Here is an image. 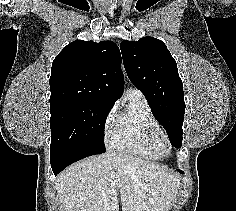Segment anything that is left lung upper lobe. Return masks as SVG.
<instances>
[{
  "label": "left lung upper lobe",
  "instance_id": "1",
  "mask_svg": "<svg viewBox=\"0 0 236 211\" xmlns=\"http://www.w3.org/2000/svg\"><path fill=\"white\" fill-rule=\"evenodd\" d=\"M120 48L130 81L145 95L171 144L181 148L185 102L176 61L161 40L150 36L125 40Z\"/></svg>",
  "mask_w": 236,
  "mask_h": 211
}]
</instances>
